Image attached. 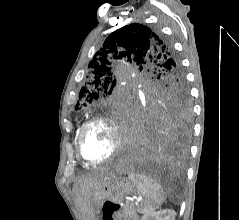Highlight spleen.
I'll return each mask as SVG.
<instances>
[{
  "mask_svg": "<svg viewBox=\"0 0 239 220\" xmlns=\"http://www.w3.org/2000/svg\"><path fill=\"white\" fill-rule=\"evenodd\" d=\"M128 178L136 186L138 194L144 197V200L138 206L140 213L145 214L154 211L165 201V194L161 185L151 177L139 173H130Z\"/></svg>",
  "mask_w": 239,
  "mask_h": 220,
  "instance_id": "3e777b00",
  "label": "spleen"
}]
</instances>
